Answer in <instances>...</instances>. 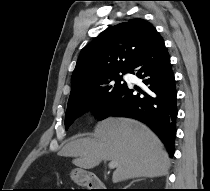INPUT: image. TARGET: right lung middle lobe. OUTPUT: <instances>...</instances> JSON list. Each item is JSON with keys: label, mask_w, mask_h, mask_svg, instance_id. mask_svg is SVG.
<instances>
[{"label": "right lung middle lobe", "mask_w": 210, "mask_h": 191, "mask_svg": "<svg viewBox=\"0 0 210 191\" xmlns=\"http://www.w3.org/2000/svg\"><path fill=\"white\" fill-rule=\"evenodd\" d=\"M129 70L109 73L95 82L87 92L68 100L65 115V129L85 111L93 110L98 116L105 110L117 93L126 86L122 81V74Z\"/></svg>", "instance_id": "obj_1"}]
</instances>
